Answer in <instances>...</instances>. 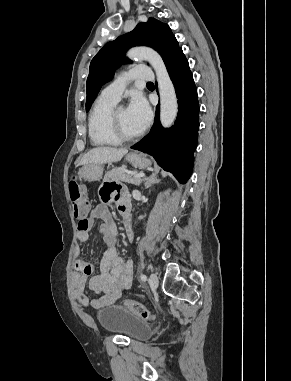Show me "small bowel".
<instances>
[{"label":"small bowel","mask_w":291,"mask_h":381,"mask_svg":"<svg viewBox=\"0 0 291 381\" xmlns=\"http://www.w3.org/2000/svg\"><path fill=\"white\" fill-rule=\"evenodd\" d=\"M101 195L105 200H116L118 210L124 218V223L129 227L130 204L124 192L117 187H106L101 190ZM96 219L102 221L98 230L106 249L100 260L98 273L94 274L95 267L93 264L82 258L80 248H75V272L72 275V291L75 298L82 305L86 306L90 303L94 308H103L115 303L124 291L132 287L133 275L132 263L124 261L117 251V230L106 203L102 202L96 205L90 216L86 220L80 221L77 232L78 242L85 243L89 240V231ZM83 223L87 225L85 229L81 228ZM87 284L90 290L99 295L98 298L89 300L85 294Z\"/></svg>","instance_id":"1"}]
</instances>
